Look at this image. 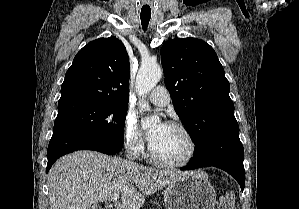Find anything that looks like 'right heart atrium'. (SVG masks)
Returning <instances> with one entry per match:
<instances>
[{"mask_svg":"<svg viewBox=\"0 0 299 209\" xmlns=\"http://www.w3.org/2000/svg\"><path fill=\"white\" fill-rule=\"evenodd\" d=\"M123 136L125 147L135 156H139L144 149L142 133L137 125L136 119L127 115L123 124Z\"/></svg>","mask_w":299,"mask_h":209,"instance_id":"d8ad5b80","label":"right heart atrium"}]
</instances>
